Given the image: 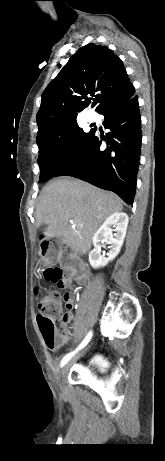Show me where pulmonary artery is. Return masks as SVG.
<instances>
[{"mask_svg":"<svg viewBox=\"0 0 165 461\" xmlns=\"http://www.w3.org/2000/svg\"><path fill=\"white\" fill-rule=\"evenodd\" d=\"M96 117L94 114H87L86 115V120L89 121V122H93L95 121Z\"/></svg>","mask_w":165,"mask_h":461,"instance_id":"e3ab8cb5","label":"pulmonary artery"}]
</instances>
